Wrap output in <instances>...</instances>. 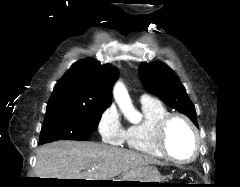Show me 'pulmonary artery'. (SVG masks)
<instances>
[{"label": "pulmonary artery", "instance_id": "pulmonary-artery-1", "mask_svg": "<svg viewBox=\"0 0 240 187\" xmlns=\"http://www.w3.org/2000/svg\"><path fill=\"white\" fill-rule=\"evenodd\" d=\"M140 100H141V103L153 101V99L149 95H146V94L142 95Z\"/></svg>", "mask_w": 240, "mask_h": 187}]
</instances>
